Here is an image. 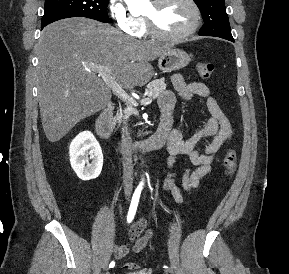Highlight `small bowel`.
I'll return each mask as SVG.
<instances>
[{
  "label": "small bowel",
  "instance_id": "obj_1",
  "mask_svg": "<svg viewBox=\"0 0 289 274\" xmlns=\"http://www.w3.org/2000/svg\"><path fill=\"white\" fill-rule=\"evenodd\" d=\"M172 84L178 96L183 100L191 101L195 97L204 98L210 115L205 127L192 136L185 138L184 129L178 127L171 130L168 138L170 156L166 167L162 169L165 175L163 191L171 194L177 203H183L184 197L176 183L174 171L176 160L179 157H185L189 161L181 177V186L184 191L192 192L199 188L202 178L210 174L218 151L232 139L234 128L206 84L186 82L179 74L173 75ZM159 104L163 113L173 115L176 105L175 94L172 91H164L159 97ZM207 140L210 141L200 146ZM150 237L151 231L146 221L144 219L136 221L129 229V242L113 247L115 257L121 259L131 251L141 252Z\"/></svg>",
  "mask_w": 289,
  "mask_h": 274
}]
</instances>
